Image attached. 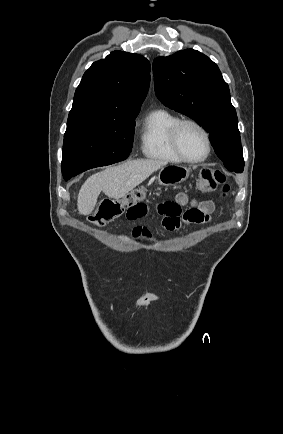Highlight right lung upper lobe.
<instances>
[{
  "instance_id": "cb5924a9",
  "label": "right lung upper lobe",
  "mask_w": 283,
  "mask_h": 434,
  "mask_svg": "<svg viewBox=\"0 0 283 434\" xmlns=\"http://www.w3.org/2000/svg\"><path fill=\"white\" fill-rule=\"evenodd\" d=\"M150 63L142 55L113 51L86 70L68 120L137 116L150 82Z\"/></svg>"
}]
</instances>
